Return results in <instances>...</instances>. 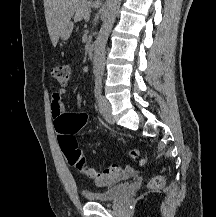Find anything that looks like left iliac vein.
I'll use <instances>...</instances> for the list:
<instances>
[{"label": "left iliac vein", "mask_w": 216, "mask_h": 217, "mask_svg": "<svg viewBox=\"0 0 216 217\" xmlns=\"http://www.w3.org/2000/svg\"><path fill=\"white\" fill-rule=\"evenodd\" d=\"M98 106H99V111H100L101 115L103 116V118L108 123L114 124V118L112 116L111 104L104 96H101L99 98Z\"/></svg>", "instance_id": "obj_1"}]
</instances>
